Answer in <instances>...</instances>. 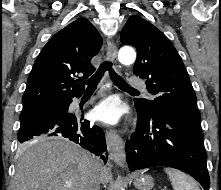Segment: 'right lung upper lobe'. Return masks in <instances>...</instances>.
<instances>
[{"instance_id":"cb5924a9","label":"right lung upper lobe","mask_w":221,"mask_h":190,"mask_svg":"<svg viewBox=\"0 0 221 190\" xmlns=\"http://www.w3.org/2000/svg\"><path fill=\"white\" fill-rule=\"evenodd\" d=\"M102 42L101 35L86 18L57 32L34 62L22 97L23 109L82 95L85 79L95 71L91 59Z\"/></svg>"}]
</instances>
